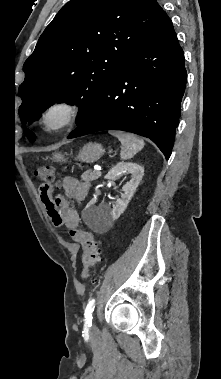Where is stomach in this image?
<instances>
[{"label": "stomach", "instance_id": "stomach-1", "mask_svg": "<svg viewBox=\"0 0 221 379\" xmlns=\"http://www.w3.org/2000/svg\"><path fill=\"white\" fill-rule=\"evenodd\" d=\"M105 150L99 143L89 142L79 151L77 159L85 163H93L100 159L104 154ZM53 159L57 162L63 160V155L61 153H55Z\"/></svg>", "mask_w": 221, "mask_h": 379}]
</instances>
